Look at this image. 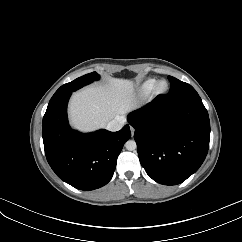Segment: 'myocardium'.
Here are the masks:
<instances>
[{
	"label": "myocardium",
	"mask_w": 242,
	"mask_h": 242,
	"mask_svg": "<svg viewBox=\"0 0 242 242\" xmlns=\"http://www.w3.org/2000/svg\"><path fill=\"white\" fill-rule=\"evenodd\" d=\"M163 83L165 84V88L160 89V85L163 84ZM152 90H153V94L156 95V96L165 95L169 90V83L164 79L159 80L155 83Z\"/></svg>",
	"instance_id": "f54148a6"
}]
</instances>
